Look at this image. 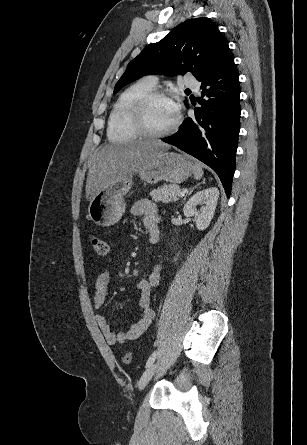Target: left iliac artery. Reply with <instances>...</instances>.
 Returning a JSON list of instances; mask_svg holds the SVG:
<instances>
[{
    "label": "left iliac artery",
    "mask_w": 307,
    "mask_h": 445,
    "mask_svg": "<svg viewBox=\"0 0 307 445\" xmlns=\"http://www.w3.org/2000/svg\"><path fill=\"white\" fill-rule=\"evenodd\" d=\"M156 356H157V352L155 351V352L152 353V355L147 360L146 368L149 367L155 361Z\"/></svg>",
    "instance_id": "left-iliac-artery-1"
}]
</instances>
